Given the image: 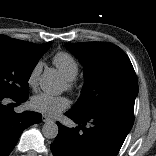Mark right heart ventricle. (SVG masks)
Masks as SVG:
<instances>
[{"mask_svg": "<svg viewBox=\"0 0 156 156\" xmlns=\"http://www.w3.org/2000/svg\"><path fill=\"white\" fill-rule=\"evenodd\" d=\"M53 64L65 79L74 80L79 72V64L68 52L60 51L53 56Z\"/></svg>", "mask_w": 156, "mask_h": 156, "instance_id": "1", "label": "right heart ventricle"}]
</instances>
